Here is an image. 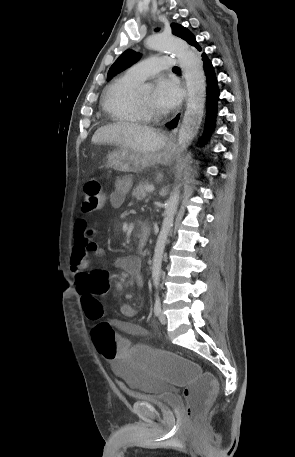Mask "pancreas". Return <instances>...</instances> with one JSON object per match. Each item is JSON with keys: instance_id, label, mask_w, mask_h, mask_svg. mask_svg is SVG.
I'll return each instance as SVG.
<instances>
[{"instance_id": "cf45deb5", "label": "pancreas", "mask_w": 295, "mask_h": 457, "mask_svg": "<svg viewBox=\"0 0 295 457\" xmlns=\"http://www.w3.org/2000/svg\"><path fill=\"white\" fill-rule=\"evenodd\" d=\"M149 186L147 181L139 184L132 192V196L137 200H142L146 197V187Z\"/></svg>"}]
</instances>
